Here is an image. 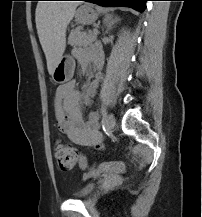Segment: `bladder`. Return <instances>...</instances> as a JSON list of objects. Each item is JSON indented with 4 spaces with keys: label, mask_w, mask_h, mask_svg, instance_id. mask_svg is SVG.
<instances>
[{
    "label": "bladder",
    "mask_w": 202,
    "mask_h": 217,
    "mask_svg": "<svg viewBox=\"0 0 202 217\" xmlns=\"http://www.w3.org/2000/svg\"><path fill=\"white\" fill-rule=\"evenodd\" d=\"M114 176H109V178H113ZM96 184H86L79 191L74 194L75 199L84 200L90 197L94 191L96 190Z\"/></svg>",
    "instance_id": "bladder-1"
}]
</instances>
